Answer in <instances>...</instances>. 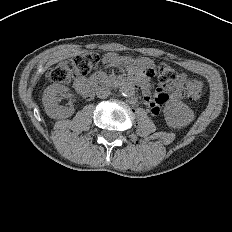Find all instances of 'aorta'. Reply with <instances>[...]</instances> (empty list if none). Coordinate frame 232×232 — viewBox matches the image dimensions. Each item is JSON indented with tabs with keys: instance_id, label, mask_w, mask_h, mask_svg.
Here are the masks:
<instances>
[{
	"instance_id": "762f6f07",
	"label": "aorta",
	"mask_w": 232,
	"mask_h": 232,
	"mask_svg": "<svg viewBox=\"0 0 232 232\" xmlns=\"http://www.w3.org/2000/svg\"><path fill=\"white\" fill-rule=\"evenodd\" d=\"M120 93L124 97H131L135 94V87L131 84H125L120 88Z\"/></svg>"
}]
</instances>
